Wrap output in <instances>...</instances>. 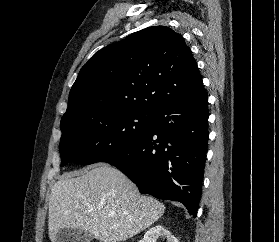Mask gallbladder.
I'll return each instance as SVG.
<instances>
[{
  "label": "gallbladder",
  "mask_w": 279,
  "mask_h": 242,
  "mask_svg": "<svg viewBox=\"0 0 279 242\" xmlns=\"http://www.w3.org/2000/svg\"><path fill=\"white\" fill-rule=\"evenodd\" d=\"M92 239L93 237L83 230L65 228L57 233L55 242H90Z\"/></svg>",
  "instance_id": "gallbladder-1"
}]
</instances>
